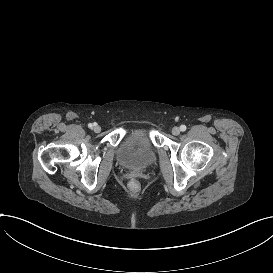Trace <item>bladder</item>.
<instances>
[{"mask_svg":"<svg viewBox=\"0 0 273 273\" xmlns=\"http://www.w3.org/2000/svg\"><path fill=\"white\" fill-rule=\"evenodd\" d=\"M138 146V151L133 152L132 147ZM115 158L124 168L142 171L157 160V151L148 134L137 132L126 134L115 148Z\"/></svg>","mask_w":273,"mask_h":273,"instance_id":"1","label":"bladder"}]
</instances>
